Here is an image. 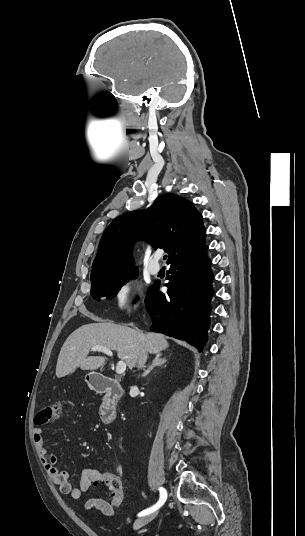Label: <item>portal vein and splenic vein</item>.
Here are the masks:
<instances>
[{"instance_id":"obj_1","label":"portal vein and splenic vein","mask_w":305,"mask_h":536,"mask_svg":"<svg viewBox=\"0 0 305 536\" xmlns=\"http://www.w3.org/2000/svg\"><path fill=\"white\" fill-rule=\"evenodd\" d=\"M91 350L92 352H103V354H106V356H113V352H111L109 348H104V346H93ZM125 370H126L125 362H118L116 366V374H124Z\"/></svg>"}]
</instances>
